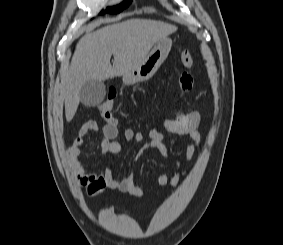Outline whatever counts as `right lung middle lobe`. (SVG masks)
Here are the masks:
<instances>
[{
    "label": "right lung middle lobe",
    "mask_w": 283,
    "mask_h": 245,
    "mask_svg": "<svg viewBox=\"0 0 283 245\" xmlns=\"http://www.w3.org/2000/svg\"><path fill=\"white\" fill-rule=\"evenodd\" d=\"M130 0H126L124 2H122L120 5L118 6H115V7H110V8H107L106 11H101L100 14H104L106 12L108 13H119L121 12L123 9H125L126 7H128V5L130 4Z\"/></svg>",
    "instance_id": "right-lung-middle-lobe-1"
}]
</instances>
